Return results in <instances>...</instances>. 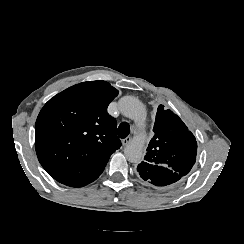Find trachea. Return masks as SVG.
Instances as JSON below:
<instances>
[{"instance_id":"obj_1","label":"trachea","mask_w":244,"mask_h":244,"mask_svg":"<svg viewBox=\"0 0 244 244\" xmlns=\"http://www.w3.org/2000/svg\"><path fill=\"white\" fill-rule=\"evenodd\" d=\"M130 133V126L127 123H121L118 126V136L120 138H126Z\"/></svg>"}]
</instances>
